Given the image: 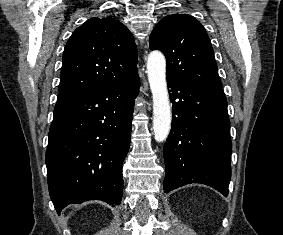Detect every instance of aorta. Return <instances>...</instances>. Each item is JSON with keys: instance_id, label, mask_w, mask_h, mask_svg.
Masks as SVG:
<instances>
[{"instance_id": "762f6f07", "label": "aorta", "mask_w": 283, "mask_h": 235, "mask_svg": "<svg viewBox=\"0 0 283 235\" xmlns=\"http://www.w3.org/2000/svg\"><path fill=\"white\" fill-rule=\"evenodd\" d=\"M147 73L153 98V131L157 142H163L171 128V108L166 82V60L159 51L149 54Z\"/></svg>"}]
</instances>
